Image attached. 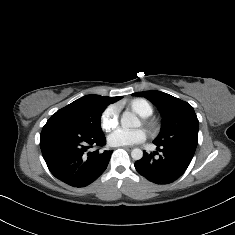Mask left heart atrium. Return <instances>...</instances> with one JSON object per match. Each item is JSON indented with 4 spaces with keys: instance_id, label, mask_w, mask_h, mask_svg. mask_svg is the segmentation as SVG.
Returning <instances> with one entry per match:
<instances>
[{
    "instance_id": "left-heart-atrium-1",
    "label": "left heart atrium",
    "mask_w": 235,
    "mask_h": 235,
    "mask_svg": "<svg viewBox=\"0 0 235 235\" xmlns=\"http://www.w3.org/2000/svg\"><path fill=\"white\" fill-rule=\"evenodd\" d=\"M147 138V132L144 129L125 130L116 129L107 137L108 144L111 146H129L141 143Z\"/></svg>"
}]
</instances>
